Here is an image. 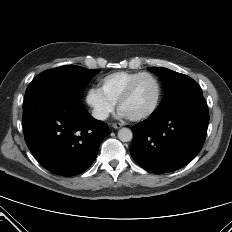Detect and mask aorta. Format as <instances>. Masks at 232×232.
<instances>
[{
  "instance_id": "1",
  "label": "aorta",
  "mask_w": 232,
  "mask_h": 232,
  "mask_svg": "<svg viewBox=\"0 0 232 232\" xmlns=\"http://www.w3.org/2000/svg\"><path fill=\"white\" fill-rule=\"evenodd\" d=\"M133 133L129 128H121L118 131V139L122 142H129L132 140Z\"/></svg>"
}]
</instances>
